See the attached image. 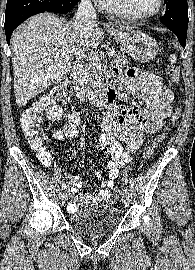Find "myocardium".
<instances>
[{"mask_svg": "<svg viewBox=\"0 0 195 270\" xmlns=\"http://www.w3.org/2000/svg\"><path fill=\"white\" fill-rule=\"evenodd\" d=\"M122 4L124 5V7L134 16L136 17V19H148V18H152L156 15H158L161 10L163 9L164 6V0H159L158 2V6L156 8L155 11L151 12V13H138L137 11H135V9L132 7L130 0H121Z\"/></svg>", "mask_w": 195, "mask_h": 270, "instance_id": "obj_1", "label": "myocardium"}]
</instances>
